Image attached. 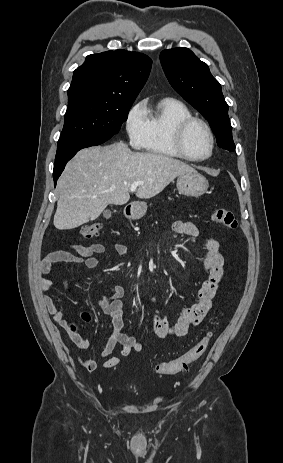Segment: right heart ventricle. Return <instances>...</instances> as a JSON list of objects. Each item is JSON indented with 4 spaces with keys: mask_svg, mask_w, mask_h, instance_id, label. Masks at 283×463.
I'll use <instances>...</instances> for the list:
<instances>
[{
    "mask_svg": "<svg viewBox=\"0 0 283 463\" xmlns=\"http://www.w3.org/2000/svg\"><path fill=\"white\" fill-rule=\"evenodd\" d=\"M191 110L175 98H164L146 108L147 132L143 148L154 155L180 158L173 144L176 127L192 117Z\"/></svg>",
    "mask_w": 283,
    "mask_h": 463,
    "instance_id": "e07e8e85",
    "label": "right heart ventricle"
}]
</instances>
